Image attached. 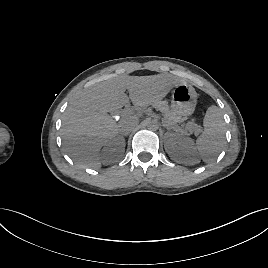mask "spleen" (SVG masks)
<instances>
[{"mask_svg": "<svg viewBox=\"0 0 268 268\" xmlns=\"http://www.w3.org/2000/svg\"><path fill=\"white\" fill-rule=\"evenodd\" d=\"M203 125L204 131L196 140V148L202 160L210 163L220 153L225 142V123L217 106L212 105L207 109Z\"/></svg>", "mask_w": 268, "mask_h": 268, "instance_id": "obj_1", "label": "spleen"}]
</instances>
